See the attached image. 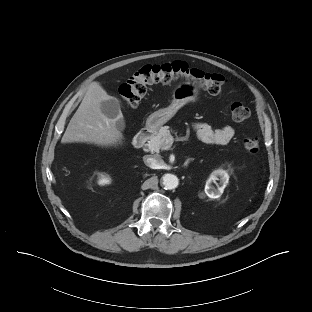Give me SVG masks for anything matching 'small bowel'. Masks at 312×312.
I'll use <instances>...</instances> for the list:
<instances>
[{
    "mask_svg": "<svg viewBox=\"0 0 312 312\" xmlns=\"http://www.w3.org/2000/svg\"><path fill=\"white\" fill-rule=\"evenodd\" d=\"M193 129L203 142L214 145H225L229 143L235 135V130L230 125L214 130L208 124L195 123L193 124Z\"/></svg>",
    "mask_w": 312,
    "mask_h": 312,
    "instance_id": "c3829d8e",
    "label": "small bowel"
}]
</instances>
